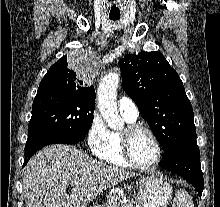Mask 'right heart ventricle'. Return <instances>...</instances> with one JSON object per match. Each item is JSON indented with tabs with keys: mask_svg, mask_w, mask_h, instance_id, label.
Listing matches in <instances>:
<instances>
[{
	"mask_svg": "<svg viewBox=\"0 0 220 207\" xmlns=\"http://www.w3.org/2000/svg\"><path fill=\"white\" fill-rule=\"evenodd\" d=\"M125 121L130 124L134 123V119H131L125 115H122ZM94 155L101 161L113 166L130 168L132 167L123 157L120 146V132L110 131L108 139L103 147L94 152Z\"/></svg>",
	"mask_w": 220,
	"mask_h": 207,
	"instance_id": "right-heart-ventricle-1",
	"label": "right heart ventricle"
}]
</instances>
